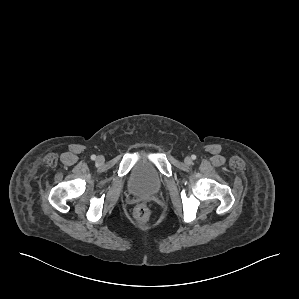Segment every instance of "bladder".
I'll use <instances>...</instances> for the list:
<instances>
[{
	"mask_svg": "<svg viewBox=\"0 0 299 299\" xmlns=\"http://www.w3.org/2000/svg\"><path fill=\"white\" fill-rule=\"evenodd\" d=\"M163 178L157 167L148 159L138 161L128 177V189L134 195H153L160 191Z\"/></svg>",
	"mask_w": 299,
	"mask_h": 299,
	"instance_id": "1",
	"label": "bladder"
}]
</instances>
